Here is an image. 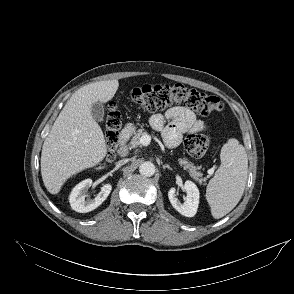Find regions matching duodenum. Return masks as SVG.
Here are the masks:
<instances>
[{
  "mask_svg": "<svg viewBox=\"0 0 294 294\" xmlns=\"http://www.w3.org/2000/svg\"><path fill=\"white\" fill-rule=\"evenodd\" d=\"M132 126L127 123L121 130L117 143V152L121 156H126L128 153L127 142L132 134Z\"/></svg>",
  "mask_w": 294,
  "mask_h": 294,
  "instance_id": "duodenum-1",
  "label": "duodenum"
}]
</instances>
